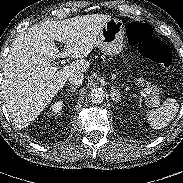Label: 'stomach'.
Segmentation results:
<instances>
[{"label": "stomach", "mask_w": 183, "mask_h": 183, "mask_svg": "<svg viewBox=\"0 0 183 183\" xmlns=\"http://www.w3.org/2000/svg\"><path fill=\"white\" fill-rule=\"evenodd\" d=\"M125 26L121 20L110 19L98 35L96 46L109 56H115L123 49Z\"/></svg>", "instance_id": "stomach-1"}]
</instances>
